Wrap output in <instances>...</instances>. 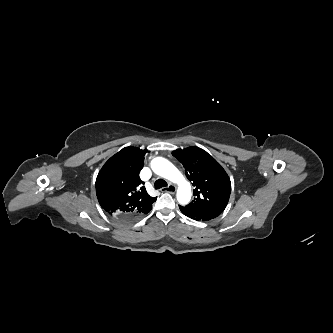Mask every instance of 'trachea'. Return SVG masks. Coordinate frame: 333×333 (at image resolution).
<instances>
[{"label":"trachea","mask_w":333,"mask_h":333,"mask_svg":"<svg viewBox=\"0 0 333 333\" xmlns=\"http://www.w3.org/2000/svg\"><path fill=\"white\" fill-rule=\"evenodd\" d=\"M167 185H168L167 182L163 179H158L154 183L155 189H160L162 187H166Z\"/></svg>","instance_id":"trachea-1"}]
</instances>
